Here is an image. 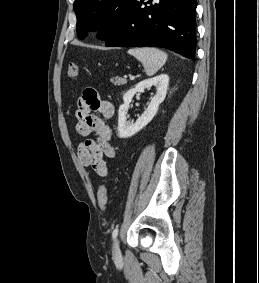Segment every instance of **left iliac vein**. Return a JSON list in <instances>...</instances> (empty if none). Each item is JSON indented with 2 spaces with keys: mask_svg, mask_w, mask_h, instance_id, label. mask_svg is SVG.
Here are the masks:
<instances>
[{
  "mask_svg": "<svg viewBox=\"0 0 259 283\" xmlns=\"http://www.w3.org/2000/svg\"><path fill=\"white\" fill-rule=\"evenodd\" d=\"M112 253H113V256H115V257L120 255L119 239L114 240Z\"/></svg>",
  "mask_w": 259,
  "mask_h": 283,
  "instance_id": "left-iliac-vein-1",
  "label": "left iliac vein"
}]
</instances>
